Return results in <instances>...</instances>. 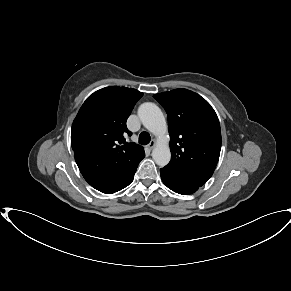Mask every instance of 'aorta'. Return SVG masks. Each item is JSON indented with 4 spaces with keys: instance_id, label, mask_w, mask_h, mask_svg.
<instances>
[{
    "instance_id": "1",
    "label": "aorta",
    "mask_w": 291,
    "mask_h": 291,
    "mask_svg": "<svg viewBox=\"0 0 291 291\" xmlns=\"http://www.w3.org/2000/svg\"><path fill=\"white\" fill-rule=\"evenodd\" d=\"M138 116L143 126L158 137L156 147L152 151L155 163L166 166L171 158V152L167 140V128L165 117L161 109L154 103L146 102L139 106Z\"/></svg>"
}]
</instances>
